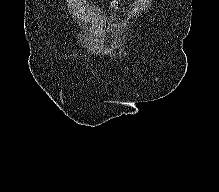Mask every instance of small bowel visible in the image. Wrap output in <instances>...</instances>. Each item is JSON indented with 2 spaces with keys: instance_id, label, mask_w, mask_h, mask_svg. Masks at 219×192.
Masks as SVG:
<instances>
[{
  "instance_id": "small-bowel-1",
  "label": "small bowel",
  "mask_w": 219,
  "mask_h": 192,
  "mask_svg": "<svg viewBox=\"0 0 219 192\" xmlns=\"http://www.w3.org/2000/svg\"><path fill=\"white\" fill-rule=\"evenodd\" d=\"M111 7H112L113 9L120 10V9L122 8V2H121V0H113V1L111 2Z\"/></svg>"
}]
</instances>
